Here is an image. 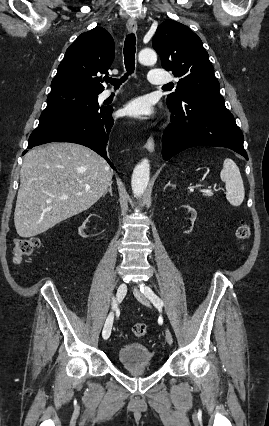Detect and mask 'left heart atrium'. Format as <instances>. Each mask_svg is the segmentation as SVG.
<instances>
[{"label": "left heart atrium", "instance_id": "39dd6f15", "mask_svg": "<svg viewBox=\"0 0 269 426\" xmlns=\"http://www.w3.org/2000/svg\"><path fill=\"white\" fill-rule=\"evenodd\" d=\"M123 114L133 118H146L153 113L150 101L140 97L130 101L122 110Z\"/></svg>", "mask_w": 269, "mask_h": 426}]
</instances>
